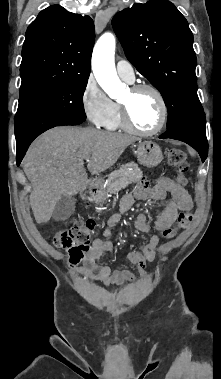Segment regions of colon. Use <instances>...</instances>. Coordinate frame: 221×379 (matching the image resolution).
Instances as JSON below:
<instances>
[{
    "label": "colon",
    "mask_w": 221,
    "mask_h": 379,
    "mask_svg": "<svg viewBox=\"0 0 221 379\" xmlns=\"http://www.w3.org/2000/svg\"><path fill=\"white\" fill-rule=\"evenodd\" d=\"M168 161L175 171V182L180 186H184L187 182L185 174L188 170L186 153L181 149L171 148L168 151ZM191 221L192 213L190 210L181 212L177 218L176 227L165 229L163 236L165 238L173 237L179 229L189 226ZM94 226L93 220L88 219L59 231L54 235V244L67 250L69 261L73 266L87 261L86 254L90 249V237Z\"/></svg>",
    "instance_id": "colon-1"
}]
</instances>
